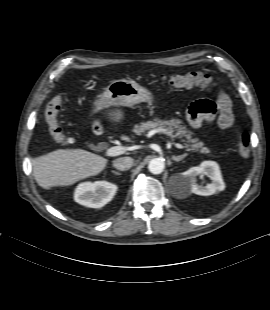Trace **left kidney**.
I'll return each mask as SVG.
<instances>
[{
	"mask_svg": "<svg viewBox=\"0 0 270 310\" xmlns=\"http://www.w3.org/2000/svg\"><path fill=\"white\" fill-rule=\"evenodd\" d=\"M208 176L212 182L206 186L197 184V176ZM180 185L184 192L201 196L213 195L225 189L219 165L214 161H204L199 166L191 167L180 176Z\"/></svg>",
	"mask_w": 270,
	"mask_h": 310,
	"instance_id": "1",
	"label": "left kidney"
}]
</instances>
